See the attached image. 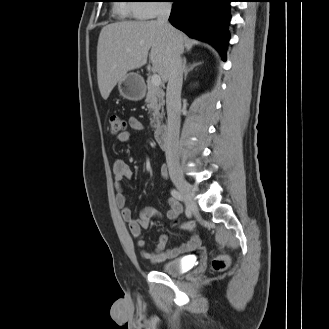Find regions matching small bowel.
I'll list each match as a JSON object with an SVG mask.
<instances>
[{
  "instance_id": "1",
  "label": "small bowel",
  "mask_w": 329,
  "mask_h": 329,
  "mask_svg": "<svg viewBox=\"0 0 329 329\" xmlns=\"http://www.w3.org/2000/svg\"><path fill=\"white\" fill-rule=\"evenodd\" d=\"M128 125L132 130H143L144 125L136 118H129ZM131 139L130 133L124 131L117 136V140L120 143H128ZM112 172L114 177V186L117 191L116 203L121 210V216L123 220L128 224L131 235L135 238L136 246L141 250V256L143 259L152 263H160L168 259L177 257L180 254L193 251L197 248L199 240L192 238L188 242L167 249L168 237L161 235L156 245L154 252H149L145 249V239L142 235V231L150 226L153 219L160 218L161 214L152 207H145L140 211L139 218L134 219L132 211L128 206V199L124 193L123 182L126 179H130L133 175L131 167L121 158L114 161L112 166ZM162 177L168 176V169L162 165L160 168ZM170 208L167 212V217L171 220L178 218L182 211L181 204L176 198H170Z\"/></svg>"
}]
</instances>
